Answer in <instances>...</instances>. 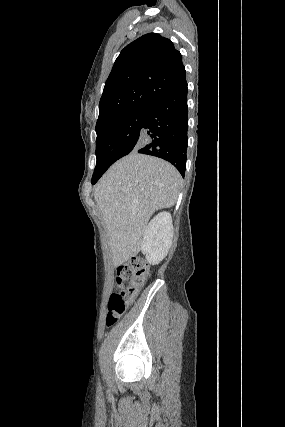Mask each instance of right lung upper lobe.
I'll list each match as a JSON object with an SVG mask.
<instances>
[{
    "label": "right lung upper lobe",
    "mask_w": 285,
    "mask_h": 427,
    "mask_svg": "<svg viewBox=\"0 0 285 427\" xmlns=\"http://www.w3.org/2000/svg\"><path fill=\"white\" fill-rule=\"evenodd\" d=\"M186 81L182 56L167 38L149 33L127 45L105 83L96 126L150 103Z\"/></svg>",
    "instance_id": "cb5924a9"
}]
</instances>
